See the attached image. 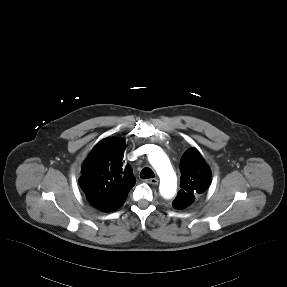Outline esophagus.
<instances>
[{
    "label": "esophagus",
    "mask_w": 287,
    "mask_h": 287,
    "mask_svg": "<svg viewBox=\"0 0 287 287\" xmlns=\"http://www.w3.org/2000/svg\"><path fill=\"white\" fill-rule=\"evenodd\" d=\"M145 182L148 183V184L157 185L158 184V179L157 178H150V179H146Z\"/></svg>",
    "instance_id": "1"
}]
</instances>
